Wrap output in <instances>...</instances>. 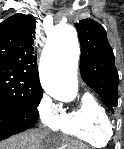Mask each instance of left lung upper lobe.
I'll return each instance as SVG.
<instances>
[{
    "instance_id": "left-lung-upper-lobe-1",
    "label": "left lung upper lobe",
    "mask_w": 124,
    "mask_h": 149,
    "mask_svg": "<svg viewBox=\"0 0 124 149\" xmlns=\"http://www.w3.org/2000/svg\"><path fill=\"white\" fill-rule=\"evenodd\" d=\"M81 44L80 73L112 112L118 104L119 76L105 29L92 19L75 24Z\"/></svg>"
}]
</instances>
